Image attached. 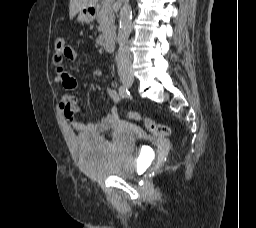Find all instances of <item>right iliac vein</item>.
<instances>
[{
	"label": "right iliac vein",
	"mask_w": 256,
	"mask_h": 228,
	"mask_svg": "<svg viewBox=\"0 0 256 228\" xmlns=\"http://www.w3.org/2000/svg\"><path fill=\"white\" fill-rule=\"evenodd\" d=\"M121 80H122L123 84L125 86H127V87H130L133 84V82H134L133 76L128 75V74L127 75H123L121 77Z\"/></svg>",
	"instance_id": "obj_1"
}]
</instances>
